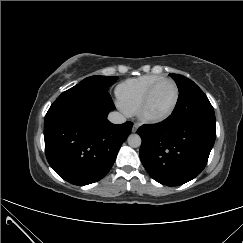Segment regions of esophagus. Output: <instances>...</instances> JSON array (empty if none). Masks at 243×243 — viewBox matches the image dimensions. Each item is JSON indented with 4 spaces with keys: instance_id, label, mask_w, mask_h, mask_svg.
<instances>
[{
    "instance_id": "34e87169",
    "label": "esophagus",
    "mask_w": 243,
    "mask_h": 243,
    "mask_svg": "<svg viewBox=\"0 0 243 243\" xmlns=\"http://www.w3.org/2000/svg\"><path fill=\"white\" fill-rule=\"evenodd\" d=\"M138 130V125L136 123H134L133 127H132V132H136Z\"/></svg>"
}]
</instances>
